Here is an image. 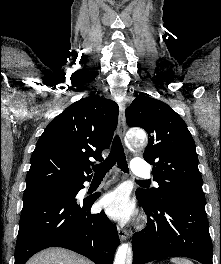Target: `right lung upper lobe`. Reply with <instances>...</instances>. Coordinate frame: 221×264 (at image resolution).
Masks as SVG:
<instances>
[{
	"mask_svg": "<svg viewBox=\"0 0 221 264\" xmlns=\"http://www.w3.org/2000/svg\"><path fill=\"white\" fill-rule=\"evenodd\" d=\"M118 105L92 95L54 118L39 138L31 156L26 189L54 182L84 183L92 175L90 157L103 160L118 121Z\"/></svg>",
	"mask_w": 221,
	"mask_h": 264,
	"instance_id": "1",
	"label": "right lung upper lobe"
}]
</instances>
